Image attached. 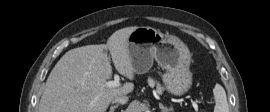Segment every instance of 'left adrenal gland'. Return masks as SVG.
I'll return each mask as SVG.
<instances>
[{
    "label": "left adrenal gland",
    "mask_w": 270,
    "mask_h": 112,
    "mask_svg": "<svg viewBox=\"0 0 270 112\" xmlns=\"http://www.w3.org/2000/svg\"><path fill=\"white\" fill-rule=\"evenodd\" d=\"M159 107L162 110V112H171L172 109H168L163 104L159 103Z\"/></svg>",
    "instance_id": "1"
}]
</instances>
